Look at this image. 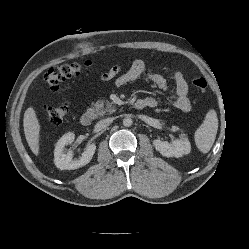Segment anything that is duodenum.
<instances>
[{
	"label": "duodenum",
	"instance_id": "1",
	"mask_svg": "<svg viewBox=\"0 0 249 249\" xmlns=\"http://www.w3.org/2000/svg\"><path fill=\"white\" fill-rule=\"evenodd\" d=\"M135 109L146 108V103L143 100H137L134 104ZM80 122L83 126H89L92 122V114L90 112H85L81 115Z\"/></svg>",
	"mask_w": 249,
	"mask_h": 249
}]
</instances>
